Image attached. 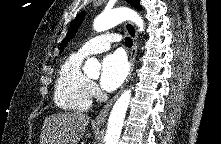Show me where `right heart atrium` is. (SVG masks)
I'll use <instances>...</instances> for the list:
<instances>
[{"instance_id":"right-heart-atrium-1","label":"right heart atrium","mask_w":221,"mask_h":144,"mask_svg":"<svg viewBox=\"0 0 221 144\" xmlns=\"http://www.w3.org/2000/svg\"><path fill=\"white\" fill-rule=\"evenodd\" d=\"M89 93L92 96H96L98 94V87L94 82L89 83Z\"/></svg>"}]
</instances>
